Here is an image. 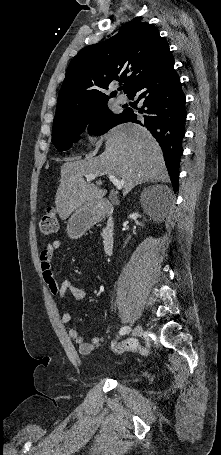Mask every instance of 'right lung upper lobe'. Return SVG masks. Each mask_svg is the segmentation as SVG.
I'll use <instances>...</instances> for the list:
<instances>
[{
    "mask_svg": "<svg viewBox=\"0 0 221 455\" xmlns=\"http://www.w3.org/2000/svg\"><path fill=\"white\" fill-rule=\"evenodd\" d=\"M168 49L157 28L139 21L127 23L106 41L84 47L68 66L54 122L108 101L104 92L113 80L123 82L129 95Z\"/></svg>",
    "mask_w": 221,
    "mask_h": 455,
    "instance_id": "cb5924a9",
    "label": "right lung upper lobe"
}]
</instances>
